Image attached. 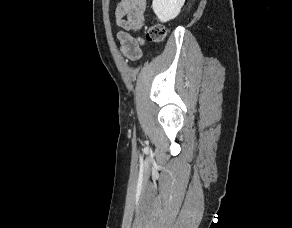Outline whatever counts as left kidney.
Wrapping results in <instances>:
<instances>
[{"mask_svg": "<svg viewBox=\"0 0 292 228\" xmlns=\"http://www.w3.org/2000/svg\"><path fill=\"white\" fill-rule=\"evenodd\" d=\"M185 0H153L152 8L161 22H167L178 16Z\"/></svg>", "mask_w": 292, "mask_h": 228, "instance_id": "obj_1", "label": "left kidney"}]
</instances>
